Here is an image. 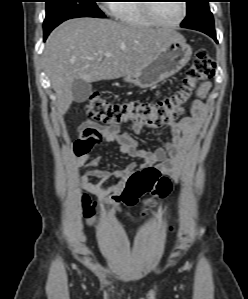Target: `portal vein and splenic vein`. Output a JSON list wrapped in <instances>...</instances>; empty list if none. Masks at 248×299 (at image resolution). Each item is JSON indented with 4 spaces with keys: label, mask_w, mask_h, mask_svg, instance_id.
<instances>
[{
    "label": "portal vein and splenic vein",
    "mask_w": 248,
    "mask_h": 299,
    "mask_svg": "<svg viewBox=\"0 0 248 299\" xmlns=\"http://www.w3.org/2000/svg\"><path fill=\"white\" fill-rule=\"evenodd\" d=\"M105 56L110 57V56H112V54L111 53H105Z\"/></svg>",
    "instance_id": "18ae733b"
}]
</instances>
